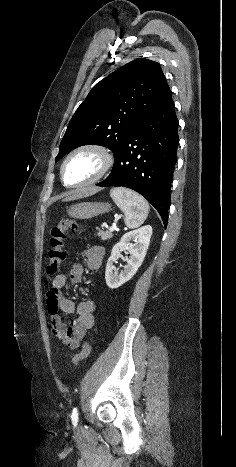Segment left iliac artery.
Returning a JSON list of instances; mask_svg holds the SVG:
<instances>
[{"label":"left iliac artery","mask_w":236,"mask_h":467,"mask_svg":"<svg viewBox=\"0 0 236 467\" xmlns=\"http://www.w3.org/2000/svg\"><path fill=\"white\" fill-rule=\"evenodd\" d=\"M71 419H72L73 425L76 426L78 423V410L76 407L73 408Z\"/></svg>","instance_id":"1"}]
</instances>
